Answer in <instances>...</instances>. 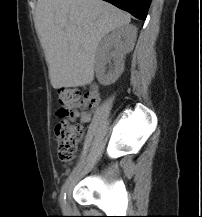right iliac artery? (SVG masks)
Segmentation results:
<instances>
[{"instance_id": "82829eb1", "label": "right iliac artery", "mask_w": 202, "mask_h": 217, "mask_svg": "<svg viewBox=\"0 0 202 217\" xmlns=\"http://www.w3.org/2000/svg\"><path fill=\"white\" fill-rule=\"evenodd\" d=\"M70 179H71L70 177L66 179V181H65V183H64V185L62 186V189H61L60 203H61L62 207H63L64 202L66 200V191H67Z\"/></svg>"}]
</instances>
